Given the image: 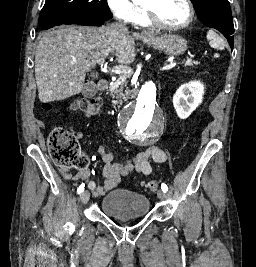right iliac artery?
Masks as SVG:
<instances>
[{"label": "right iliac artery", "mask_w": 256, "mask_h": 267, "mask_svg": "<svg viewBox=\"0 0 256 267\" xmlns=\"http://www.w3.org/2000/svg\"><path fill=\"white\" fill-rule=\"evenodd\" d=\"M84 187H85V184L82 183V184L79 186V188L77 189V193H78V194H81V193L84 191Z\"/></svg>", "instance_id": "right-iliac-artery-1"}]
</instances>
